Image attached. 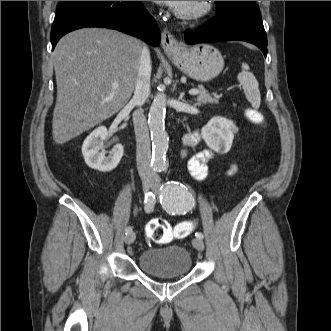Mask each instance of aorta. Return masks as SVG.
<instances>
[{"label":"aorta","instance_id":"762f6f07","mask_svg":"<svg viewBox=\"0 0 331 331\" xmlns=\"http://www.w3.org/2000/svg\"><path fill=\"white\" fill-rule=\"evenodd\" d=\"M166 95L160 91L153 99L149 110L148 125L152 140V165L155 170L166 167L169 137L165 130Z\"/></svg>","mask_w":331,"mask_h":331}]
</instances>
